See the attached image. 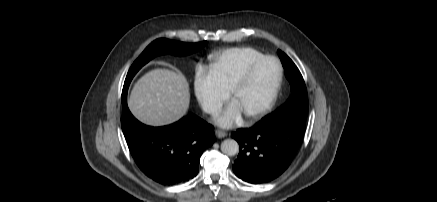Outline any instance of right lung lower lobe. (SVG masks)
I'll list each match as a JSON object with an SVG mask.
<instances>
[{"instance_id":"right-lung-lower-lobe-1","label":"right lung lower lobe","mask_w":437,"mask_h":202,"mask_svg":"<svg viewBox=\"0 0 437 202\" xmlns=\"http://www.w3.org/2000/svg\"><path fill=\"white\" fill-rule=\"evenodd\" d=\"M122 130L138 167L162 185H174L194 178L199 159L215 141L213 126L189 113L179 121L151 127L136 120L122 101Z\"/></svg>"}]
</instances>
